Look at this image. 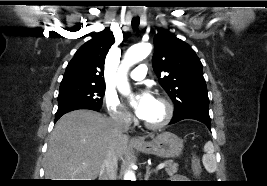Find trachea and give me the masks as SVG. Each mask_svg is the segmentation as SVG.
<instances>
[{"label": "trachea", "instance_id": "3493384b", "mask_svg": "<svg viewBox=\"0 0 267 186\" xmlns=\"http://www.w3.org/2000/svg\"><path fill=\"white\" fill-rule=\"evenodd\" d=\"M131 23H132L133 29H136L139 26L140 19L138 17L133 18Z\"/></svg>", "mask_w": 267, "mask_h": 186}]
</instances>
